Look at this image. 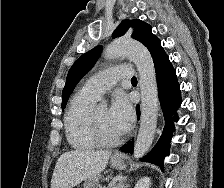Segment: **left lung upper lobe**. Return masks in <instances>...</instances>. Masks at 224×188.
I'll use <instances>...</instances> for the list:
<instances>
[{
	"label": "left lung upper lobe",
	"mask_w": 224,
	"mask_h": 188,
	"mask_svg": "<svg viewBox=\"0 0 224 188\" xmlns=\"http://www.w3.org/2000/svg\"><path fill=\"white\" fill-rule=\"evenodd\" d=\"M129 27H133L134 29L132 38L141 42L150 51L154 65L167 56L161 46L160 40L154 34H152L151 26L139 19L122 21L113 32L112 37L115 38L123 35ZM101 49L102 47L98 46L84 53L71 66L67 75L65 87L62 92V110L65 108L67 100L77 83L95 64L97 57L101 53Z\"/></svg>",
	"instance_id": "1"
}]
</instances>
